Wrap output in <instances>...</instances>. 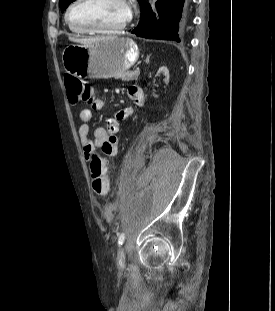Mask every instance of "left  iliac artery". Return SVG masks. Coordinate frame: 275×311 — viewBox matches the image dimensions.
<instances>
[{"mask_svg": "<svg viewBox=\"0 0 275 311\" xmlns=\"http://www.w3.org/2000/svg\"><path fill=\"white\" fill-rule=\"evenodd\" d=\"M125 235L122 233L118 238V245L121 246L124 243Z\"/></svg>", "mask_w": 275, "mask_h": 311, "instance_id": "obj_1", "label": "left iliac artery"}]
</instances>
